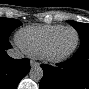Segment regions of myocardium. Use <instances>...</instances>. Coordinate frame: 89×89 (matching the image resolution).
I'll return each instance as SVG.
<instances>
[{
    "instance_id": "f54148a6",
    "label": "myocardium",
    "mask_w": 89,
    "mask_h": 89,
    "mask_svg": "<svg viewBox=\"0 0 89 89\" xmlns=\"http://www.w3.org/2000/svg\"><path fill=\"white\" fill-rule=\"evenodd\" d=\"M66 30H72L75 33L76 40H75L74 45L72 46V48L69 51H67L64 54H61V55H53V54H51L50 53V47H51L52 42L62 32L66 31ZM79 42H80L79 32L74 27H72V26H63L60 30H58L50 38H48V40L46 41V43H45V45L43 47V51H42L41 57L44 60L49 61V62H53V63L62 62L64 60L68 59L70 56H72L74 54V52L78 48Z\"/></svg>"
}]
</instances>
